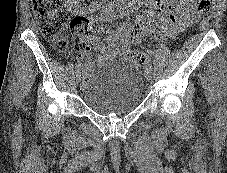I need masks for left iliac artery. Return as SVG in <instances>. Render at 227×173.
I'll list each match as a JSON object with an SVG mask.
<instances>
[{
    "label": "left iliac artery",
    "mask_w": 227,
    "mask_h": 173,
    "mask_svg": "<svg viewBox=\"0 0 227 173\" xmlns=\"http://www.w3.org/2000/svg\"><path fill=\"white\" fill-rule=\"evenodd\" d=\"M145 68H149V69H153V66H152V64L151 63H148V64H146V66H145Z\"/></svg>",
    "instance_id": "44dca946"
}]
</instances>
